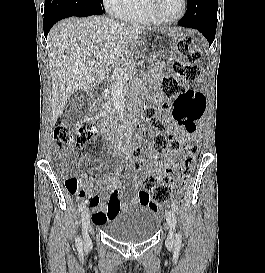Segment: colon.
Segmentation results:
<instances>
[{"instance_id": "obj_1", "label": "colon", "mask_w": 265, "mask_h": 273, "mask_svg": "<svg viewBox=\"0 0 265 273\" xmlns=\"http://www.w3.org/2000/svg\"><path fill=\"white\" fill-rule=\"evenodd\" d=\"M177 53L187 57L189 63L175 62L173 70L175 75L166 76L162 81V92L168 100L160 106L147 105L144 107L140 128L136 135L138 144H141L146 136L154 132L153 148L158 154L163 153L167 148L173 151L186 152L178 164V178L185 184L192 173L196 153L202 147L200 129L196 128L197 122L205 111V95L201 91L188 90L179 81V77L185 81L194 82L201 79V70L195 62L200 58V51L194 43L191 35H186L177 44ZM174 100L173 103L170 101ZM169 115L183 128V142L178 139L168 140L162 133L164 122L162 116ZM99 135V127L94 123H82L79 125L60 124L54 130V141L58 153L65 157L71 153L77 144L94 141ZM135 162L133 167H141V149L137 146L133 150ZM169 178L164 183H157L156 180L147 176L144 178L142 190L153 192L150 206H157L170 199L171 186ZM68 192L75 197L84 195V183L76 177L68 178L65 181Z\"/></svg>"}]
</instances>
